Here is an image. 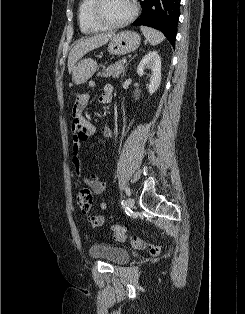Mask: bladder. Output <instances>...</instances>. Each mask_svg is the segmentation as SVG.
Listing matches in <instances>:
<instances>
[{
    "mask_svg": "<svg viewBox=\"0 0 245 314\" xmlns=\"http://www.w3.org/2000/svg\"><path fill=\"white\" fill-rule=\"evenodd\" d=\"M89 253L93 259L104 260L114 265L124 264L130 259V253L125 248L103 243L92 245Z\"/></svg>",
    "mask_w": 245,
    "mask_h": 314,
    "instance_id": "obj_1",
    "label": "bladder"
}]
</instances>
